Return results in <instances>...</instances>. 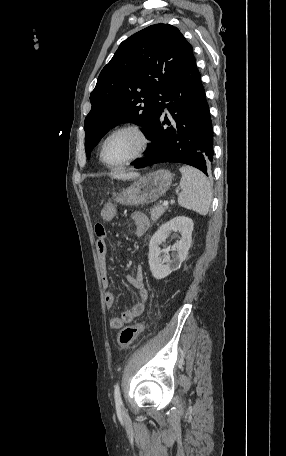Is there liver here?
<instances>
[{"instance_id": "6515ba94", "label": "liver", "mask_w": 286, "mask_h": 456, "mask_svg": "<svg viewBox=\"0 0 286 456\" xmlns=\"http://www.w3.org/2000/svg\"><path fill=\"white\" fill-rule=\"evenodd\" d=\"M110 176L114 179L129 180L139 178L140 174L137 172L116 171L114 173H111Z\"/></svg>"}]
</instances>
